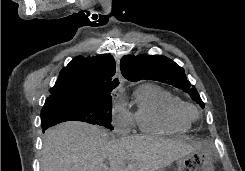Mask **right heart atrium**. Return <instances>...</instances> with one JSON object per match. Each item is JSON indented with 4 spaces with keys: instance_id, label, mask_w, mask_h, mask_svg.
<instances>
[{
    "instance_id": "obj_1",
    "label": "right heart atrium",
    "mask_w": 245,
    "mask_h": 171,
    "mask_svg": "<svg viewBox=\"0 0 245 171\" xmlns=\"http://www.w3.org/2000/svg\"><path fill=\"white\" fill-rule=\"evenodd\" d=\"M111 117L112 124L116 131L121 133L128 131L132 123V117L126 111L122 102L117 98H115L112 102Z\"/></svg>"
}]
</instances>
